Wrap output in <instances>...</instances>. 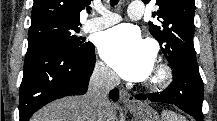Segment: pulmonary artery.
Instances as JSON below:
<instances>
[{
    "label": "pulmonary artery",
    "instance_id": "obj_1",
    "mask_svg": "<svg viewBox=\"0 0 217 121\" xmlns=\"http://www.w3.org/2000/svg\"><path fill=\"white\" fill-rule=\"evenodd\" d=\"M144 10L145 9L142 3L131 2L128 9V17L132 20L140 19L144 14ZM120 20L121 18L119 15L104 10L101 12V15L99 17L87 21L83 25L82 30L85 33L99 31L118 23Z\"/></svg>",
    "mask_w": 217,
    "mask_h": 121
}]
</instances>
